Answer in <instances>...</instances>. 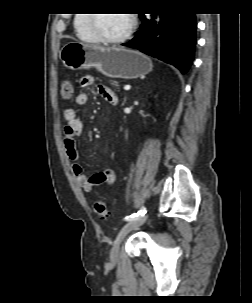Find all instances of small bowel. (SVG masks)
<instances>
[{"instance_id":"obj_1","label":"small bowel","mask_w":252,"mask_h":303,"mask_svg":"<svg viewBox=\"0 0 252 303\" xmlns=\"http://www.w3.org/2000/svg\"><path fill=\"white\" fill-rule=\"evenodd\" d=\"M95 81L94 76L87 74L82 76L80 79V85L82 87H89ZM97 92L101 97L105 99L109 104L115 105L117 103V97L110 89L104 84H98L96 86ZM88 102V96L86 93H79L75 97V104L83 106ZM64 147L67 155L70 159L76 160L78 158L77 149V137L82 135L84 132V124L81 119L77 116L76 111L73 108H67L64 111ZM73 174L78 184L86 191L91 192L95 186L104 184L111 186L116 181V173L114 169H105L100 171L93 176L89 177L86 175L82 167L74 163L72 166Z\"/></svg>"}]
</instances>
